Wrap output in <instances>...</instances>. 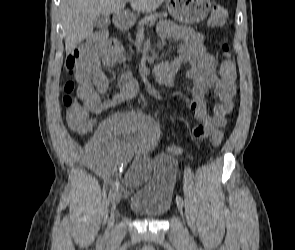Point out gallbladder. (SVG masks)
I'll return each instance as SVG.
<instances>
[{"mask_svg": "<svg viewBox=\"0 0 295 250\" xmlns=\"http://www.w3.org/2000/svg\"><path fill=\"white\" fill-rule=\"evenodd\" d=\"M110 25L109 15L101 14L95 20V26L99 29H106Z\"/></svg>", "mask_w": 295, "mask_h": 250, "instance_id": "gallbladder-1", "label": "gallbladder"}]
</instances>
